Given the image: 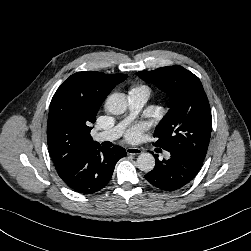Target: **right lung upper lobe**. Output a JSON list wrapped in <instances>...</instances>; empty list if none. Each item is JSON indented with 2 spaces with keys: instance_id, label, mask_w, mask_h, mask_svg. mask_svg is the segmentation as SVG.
Masks as SVG:
<instances>
[{
  "instance_id": "right-lung-upper-lobe-1",
  "label": "right lung upper lobe",
  "mask_w": 251,
  "mask_h": 251,
  "mask_svg": "<svg viewBox=\"0 0 251 251\" xmlns=\"http://www.w3.org/2000/svg\"><path fill=\"white\" fill-rule=\"evenodd\" d=\"M125 74L77 72L55 92L48 115L47 143L58 174L63 173L85 149L99 145L90 131L97 112Z\"/></svg>"
}]
</instances>
